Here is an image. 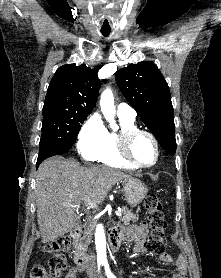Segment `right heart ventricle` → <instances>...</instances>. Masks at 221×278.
<instances>
[{
  "instance_id": "1",
  "label": "right heart ventricle",
  "mask_w": 221,
  "mask_h": 278,
  "mask_svg": "<svg viewBox=\"0 0 221 278\" xmlns=\"http://www.w3.org/2000/svg\"><path fill=\"white\" fill-rule=\"evenodd\" d=\"M121 132L129 129L136 128L134 120H129L126 118H121ZM116 132H108L107 133V139L105 142V145L99 154L97 160L105 165L112 166V167H118V168H134L133 166L129 165L128 163L124 162L122 158L120 157L117 149V143H118V135L121 133Z\"/></svg>"
}]
</instances>
